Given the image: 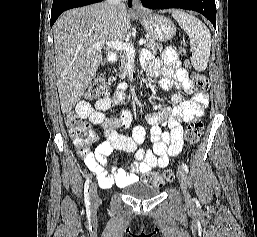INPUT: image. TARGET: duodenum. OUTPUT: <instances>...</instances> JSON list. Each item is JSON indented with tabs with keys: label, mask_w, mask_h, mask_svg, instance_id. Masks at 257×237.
Masks as SVG:
<instances>
[{
	"label": "duodenum",
	"mask_w": 257,
	"mask_h": 237,
	"mask_svg": "<svg viewBox=\"0 0 257 237\" xmlns=\"http://www.w3.org/2000/svg\"><path fill=\"white\" fill-rule=\"evenodd\" d=\"M107 57L110 63H115L117 61V56L114 52H109Z\"/></svg>",
	"instance_id": "obj_1"
}]
</instances>
